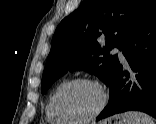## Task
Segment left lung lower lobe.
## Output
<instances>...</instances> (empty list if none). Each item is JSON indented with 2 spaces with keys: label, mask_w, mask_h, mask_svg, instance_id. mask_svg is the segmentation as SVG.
<instances>
[{
  "label": "left lung lower lobe",
  "mask_w": 156,
  "mask_h": 124,
  "mask_svg": "<svg viewBox=\"0 0 156 124\" xmlns=\"http://www.w3.org/2000/svg\"><path fill=\"white\" fill-rule=\"evenodd\" d=\"M121 51L131 71L118 65L109 84V103L96 121L128 110L156 118V0Z\"/></svg>",
  "instance_id": "1"
}]
</instances>
